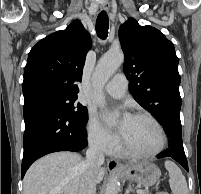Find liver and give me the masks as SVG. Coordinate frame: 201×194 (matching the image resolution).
I'll use <instances>...</instances> for the list:
<instances>
[{"label":"liver","mask_w":201,"mask_h":194,"mask_svg":"<svg viewBox=\"0 0 201 194\" xmlns=\"http://www.w3.org/2000/svg\"><path fill=\"white\" fill-rule=\"evenodd\" d=\"M79 154L57 152L46 155L31 165L23 181V194H78L84 173ZM105 169L99 168L96 183H100Z\"/></svg>","instance_id":"liver-1"}]
</instances>
